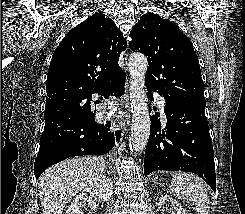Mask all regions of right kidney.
Wrapping results in <instances>:
<instances>
[{"label": "right kidney", "instance_id": "obj_1", "mask_svg": "<svg viewBox=\"0 0 245 214\" xmlns=\"http://www.w3.org/2000/svg\"><path fill=\"white\" fill-rule=\"evenodd\" d=\"M111 179L104 175H97L89 181V186L84 188L71 202L65 214H84L86 204L91 205L93 198L108 201L112 195Z\"/></svg>", "mask_w": 245, "mask_h": 214}]
</instances>
